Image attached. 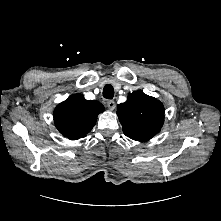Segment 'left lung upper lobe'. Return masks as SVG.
Listing matches in <instances>:
<instances>
[{"mask_svg":"<svg viewBox=\"0 0 221 221\" xmlns=\"http://www.w3.org/2000/svg\"><path fill=\"white\" fill-rule=\"evenodd\" d=\"M117 115L127 137L145 142L161 130L164 107L156 98L135 91L128 94L125 103L117 106Z\"/></svg>","mask_w":221,"mask_h":221,"instance_id":"1","label":"left lung upper lobe"}]
</instances>
